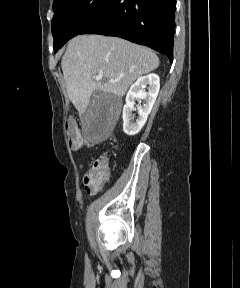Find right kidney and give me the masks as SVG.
<instances>
[{"instance_id": "right-kidney-1", "label": "right kidney", "mask_w": 240, "mask_h": 288, "mask_svg": "<svg viewBox=\"0 0 240 288\" xmlns=\"http://www.w3.org/2000/svg\"><path fill=\"white\" fill-rule=\"evenodd\" d=\"M148 87V91L144 90ZM160 89V79L157 74L140 77L129 89L126 95V104L123 107V131L129 136L136 135L144 126L148 115L155 103L156 97ZM142 99L144 103L138 107V118L136 122H131L132 111L134 110V100Z\"/></svg>"}]
</instances>
